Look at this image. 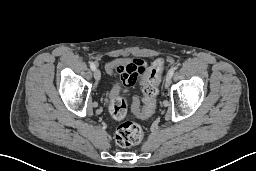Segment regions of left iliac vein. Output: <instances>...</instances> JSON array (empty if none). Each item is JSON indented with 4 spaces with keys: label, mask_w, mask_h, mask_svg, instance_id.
<instances>
[{
    "label": "left iliac vein",
    "mask_w": 256,
    "mask_h": 171,
    "mask_svg": "<svg viewBox=\"0 0 256 171\" xmlns=\"http://www.w3.org/2000/svg\"><path fill=\"white\" fill-rule=\"evenodd\" d=\"M171 83V77L167 76L165 79V88H168Z\"/></svg>",
    "instance_id": "4c4485c4"
}]
</instances>
